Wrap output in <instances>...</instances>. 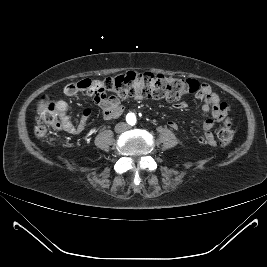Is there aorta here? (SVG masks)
I'll return each instance as SVG.
<instances>
[{
    "instance_id": "obj_1",
    "label": "aorta",
    "mask_w": 267,
    "mask_h": 267,
    "mask_svg": "<svg viewBox=\"0 0 267 267\" xmlns=\"http://www.w3.org/2000/svg\"><path fill=\"white\" fill-rule=\"evenodd\" d=\"M128 121L131 123V124H134L136 122V117L134 114H130L128 116Z\"/></svg>"
}]
</instances>
